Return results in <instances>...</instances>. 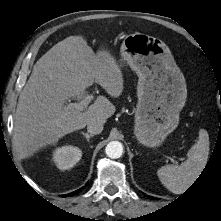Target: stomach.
Returning <instances> with one entry per match:
<instances>
[{
	"mask_svg": "<svg viewBox=\"0 0 221 221\" xmlns=\"http://www.w3.org/2000/svg\"><path fill=\"white\" fill-rule=\"evenodd\" d=\"M121 61L137 74L138 104L134 134L147 147L160 146L179 123L187 98L183 73L168 46L143 33L127 35L120 48Z\"/></svg>",
	"mask_w": 221,
	"mask_h": 221,
	"instance_id": "0dacf381",
	"label": "stomach"
}]
</instances>
